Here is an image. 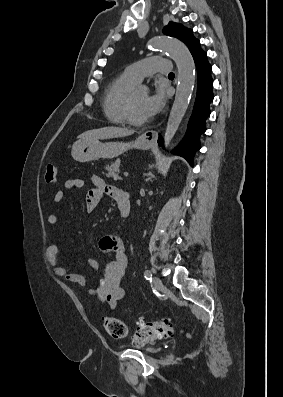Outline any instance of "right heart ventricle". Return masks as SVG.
I'll list each match as a JSON object with an SVG mask.
<instances>
[{
  "mask_svg": "<svg viewBox=\"0 0 283 397\" xmlns=\"http://www.w3.org/2000/svg\"><path fill=\"white\" fill-rule=\"evenodd\" d=\"M136 82L124 73L113 79L105 89L102 108L105 117L114 124L126 123L125 105Z\"/></svg>",
  "mask_w": 283,
  "mask_h": 397,
  "instance_id": "obj_1",
  "label": "right heart ventricle"
}]
</instances>
